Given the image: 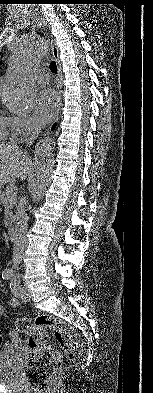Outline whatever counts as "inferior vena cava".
I'll return each instance as SVG.
<instances>
[{
    "label": "inferior vena cava",
    "instance_id": "inferior-vena-cava-1",
    "mask_svg": "<svg viewBox=\"0 0 153 393\" xmlns=\"http://www.w3.org/2000/svg\"><path fill=\"white\" fill-rule=\"evenodd\" d=\"M40 133L39 127H34L33 135L29 141V145H32L34 140L37 139ZM28 228V216L25 210V198L20 199L17 206L16 212V225H15V239L13 245V268L18 269L22 262L25 246H26V234Z\"/></svg>",
    "mask_w": 153,
    "mask_h": 393
}]
</instances>
